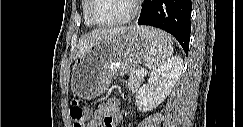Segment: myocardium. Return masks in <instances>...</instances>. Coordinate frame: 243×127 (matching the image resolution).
<instances>
[{
  "label": "myocardium",
  "instance_id": "f54148a6",
  "mask_svg": "<svg viewBox=\"0 0 243 127\" xmlns=\"http://www.w3.org/2000/svg\"><path fill=\"white\" fill-rule=\"evenodd\" d=\"M95 1L96 0H89L88 18L92 22L93 25L99 26V27H115V26H120V25L130 22L139 13L140 5H141V0H131L133 7H132L131 12L127 16L120 18L118 20H115V21L102 22V21L97 20L94 16L93 8L95 5Z\"/></svg>",
  "mask_w": 243,
  "mask_h": 127
}]
</instances>
